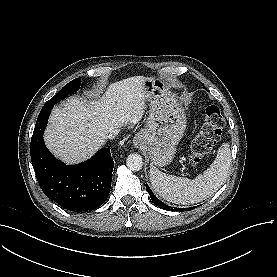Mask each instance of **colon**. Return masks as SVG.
Returning a JSON list of instances; mask_svg holds the SVG:
<instances>
[{
  "instance_id": "1",
  "label": "colon",
  "mask_w": 277,
  "mask_h": 277,
  "mask_svg": "<svg viewBox=\"0 0 277 277\" xmlns=\"http://www.w3.org/2000/svg\"><path fill=\"white\" fill-rule=\"evenodd\" d=\"M225 125L224 118L217 105H209L205 110L204 121L199 133L190 144L189 162L199 164L211 151L218 141Z\"/></svg>"
}]
</instances>
